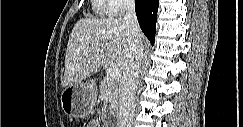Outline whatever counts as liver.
I'll return each instance as SVG.
<instances>
[{
  "label": "liver",
  "instance_id": "liver-1",
  "mask_svg": "<svg viewBox=\"0 0 243 127\" xmlns=\"http://www.w3.org/2000/svg\"><path fill=\"white\" fill-rule=\"evenodd\" d=\"M129 39L128 27L121 17L80 19L68 40L62 86L82 81L101 67L123 70ZM140 40H146L142 32Z\"/></svg>",
  "mask_w": 243,
  "mask_h": 127
}]
</instances>
